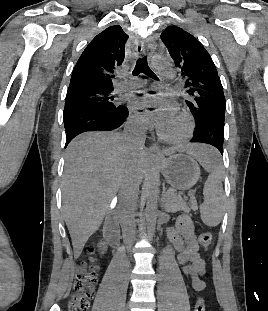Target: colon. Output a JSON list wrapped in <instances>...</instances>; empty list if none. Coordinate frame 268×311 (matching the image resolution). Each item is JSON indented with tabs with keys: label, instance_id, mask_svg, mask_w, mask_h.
<instances>
[{
	"label": "colon",
	"instance_id": "1",
	"mask_svg": "<svg viewBox=\"0 0 268 311\" xmlns=\"http://www.w3.org/2000/svg\"><path fill=\"white\" fill-rule=\"evenodd\" d=\"M199 242L204 250H208L212 243L210 232H203L199 235ZM90 253L93 250L89 251ZM98 280V266L92 258L85 261L79 268L74 289L75 294L70 302V311H88L90 301L94 296L95 285ZM206 306L202 298H198L193 311H205Z\"/></svg>",
	"mask_w": 268,
	"mask_h": 311
}]
</instances>
